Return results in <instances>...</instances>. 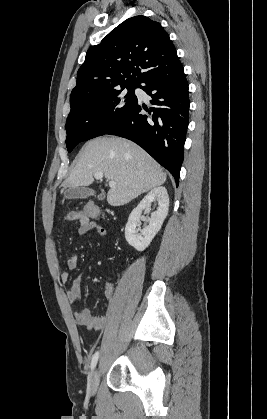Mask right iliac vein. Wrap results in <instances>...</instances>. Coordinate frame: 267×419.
I'll use <instances>...</instances> for the list:
<instances>
[{
    "label": "right iliac vein",
    "instance_id": "63e3f726",
    "mask_svg": "<svg viewBox=\"0 0 267 419\" xmlns=\"http://www.w3.org/2000/svg\"><path fill=\"white\" fill-rule=\"evenodd\" d=\"M99 379L98 368L94 369L88 382V390L91 394H95Z\"/></svg>",
    "mask_w": 267,
    "mask_h": 419
}]
</instances>
